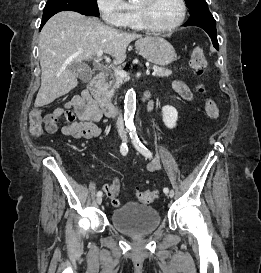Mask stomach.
I'll return each instance as SVG.
<instances>
[{"instance_id": "obj_1", "label": "stomach", "mask_w": 261, "mask_h": 273, "mask_svg": "<svg viewBox=\"0 0 261 273\" xmlns=\"http://www.w3.org/2000/svg\"><path fill=\"white\" fill-rule=\"evenodd\" d=\"M135 46L146 60L159 66L169 65L176 58L174 47L161 37L141 38Z\"/></svg>"}]
</instances>
